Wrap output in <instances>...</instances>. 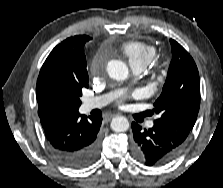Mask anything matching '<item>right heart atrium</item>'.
<instances>
[{
    "instance_id": "right-heart-atrium-1",
    "label": "right heart atrium",
    "mask_w": 223,
    "mask_h": 188,
    "mask_svg": "<svg viewBox=\"0 0 223 188\" xmlns=\"http://www.w3.org/2000/svg\"><path fill=\"white\" fill-rule=\"evenodd\" d=\"M101 65V57L100 56H96L93 60V63H92V68L93 69H96L98 67H100Z\"/></svg>"
}]
</instances>
